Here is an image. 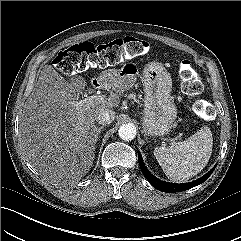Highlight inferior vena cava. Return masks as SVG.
<instances>
[{"label": "inferior vena cava", "mask_w": 241, "mask_h": 241, "mask_svg": "<svg viewBox=\"0 0 241 241\" xmlns=\"http://www.w3.org/2000/svg\"><path fill=\"white\" fill-rule=\"evenodd\" d=\"M94 117L96 122L101 125H106L112 123L116 117V113L111 109H100L95 113Z\"/></svg>", "instance_id": "602c4592"}]
</instances>
